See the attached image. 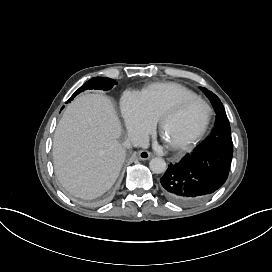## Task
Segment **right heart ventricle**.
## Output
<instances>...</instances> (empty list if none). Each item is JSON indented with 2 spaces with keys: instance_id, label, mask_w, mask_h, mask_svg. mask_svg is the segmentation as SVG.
<instances>
[{
  "instance_id": "e07e8e85",
  "label": "right heart ventricle",
  "mask_w": 272,
  "mask_h": 272,
  "mask_svg": "<svg viewBox=\"0 0 272 272\" xmlns=\"http://www.w3.org/2000/svg\"><path fill=\"white\" fill-rule=\"evenodd\" d=\"M137 95L145 110L154 118L161 117L163 111L176 99L196 97L190 90L174 83L154 84Z\"/></svg>"
}]
</instances>
